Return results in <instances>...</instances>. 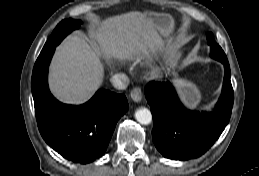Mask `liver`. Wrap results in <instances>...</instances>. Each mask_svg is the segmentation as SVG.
Here are the masks:
<instances>
[{
  "label": "liver",
  "instance_id": "1",
  "mask_svg": "<svg viewBox=\"0 0 259 176\" xmlns=\"http://www.w3.org/2000/svg\"><path fill=\"white\" fill-rule=\"evenodd\" d=\"M92 40L67 37L56 49L49 73L51 92L60 101L82 104L102 85L107 61H124L132 56L149 57L162 47V40L143 13L132 11L99 22Z\"/></svg>",
  "mask_w": 259,
  "mask_h": 176
}]
</instances>
